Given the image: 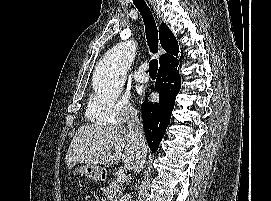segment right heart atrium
Masks as SVG:
<instances>
[{
    "label": "right heart atrium",
    "instance_id": "obj_1",
    "mask_svg": "<svg viewBox=\"0 0 271 201\" xmlns=\"http://www.w3.org/2000/svg\"><path fill=\"white\" fill-rule=\"evenodd\" d=\"M87 117L97 123L123 126L137 120V111L126 98H119L112 103H104L93 97L88 105Z\"/></svg>",
    "mask_w": 271,
    "mask_h": 201
}]
</instances>
